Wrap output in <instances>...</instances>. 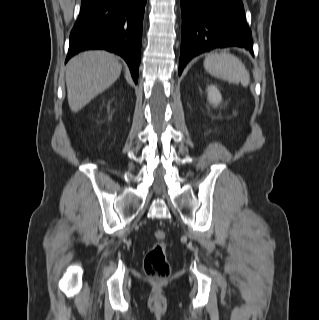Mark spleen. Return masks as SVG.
<instances>
[{"mask_svg": "<svg viewBox=\"0 0 319 320\" xmlns=\"http://www.w3.org/2000/svg\"><path fill=\"white\" fill-rule=\"evenodd\" d=\"M204 67L211 75L230 83H241L247 87L250 75L245 65L234 55L227 53H211L205 57Z\"/></svg>", "mask_w": 319, "mask_h": 320, "instance_id": "1", "label": "spleen"}]
</instances>
